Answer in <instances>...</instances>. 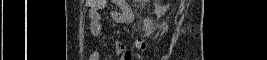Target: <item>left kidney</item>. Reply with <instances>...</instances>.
<instances>
[{
    "label": "left kidney",
    "mask_w": 267,
    "mask_h": 60,
    "mask_svg": "<svg viewBox=\"0 0 267 60\" xmlns=\"http://www.w3.org/2000/svg\"><path fill=\"white\" fill-rule=\"evenodd\" d=\"M168 9V5H165V6H161V5H156L155 6V13L157 15V17H161L165 14V12L167 11Z\"/></svg>",
    "instance_id": "1"
}]
</instances>
